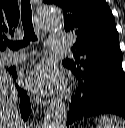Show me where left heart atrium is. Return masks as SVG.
Listing matches in <instances>:
<instances>
[{
  "mask_svg": "<svg viewBox=\"0 0 125 128\" xmlns=\"http://www.w3.org/2000/svg\"><path fill=\"white\" fill-rule=\"evenodd\" d=\"M23 82L36 94L46 95L62 86V77L54 66L49 63H41L24 75Z\"/></svg>",
  "mask_w": 125,
  "mask_h": 128,
  "instance_id": "39dd6f15",
  "label": "left heart atrium"
}]
</instances>
